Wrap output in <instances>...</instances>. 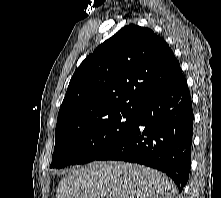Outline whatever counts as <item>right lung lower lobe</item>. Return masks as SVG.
<instances>
[{"instance_id":"obj_1","label":"right lung lower lobe","mask_w":221,"mask_h":198,"mask_svg":"<svg viewBox=\"0 0 221 198\" xmlns=\"http://www.w3.org/2000/svg\"><path fill=\"white\" fill-rule=\"evenodd\" d=\"M193 110L183 76L137 114L131 131L95 160H121L165 172L183 190L191 168Z\"/></svg>"}]
</instances>
